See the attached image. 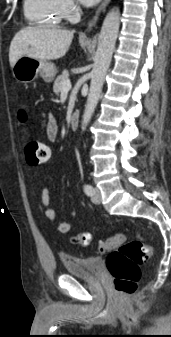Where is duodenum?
Masks as SVG:
<instances>
[{"label":"duodenum","instance_id":"1","mask_svg":"<svg viewBox=\"0 0 171 337\" xmlns=\"http://www.w3.org/2000/svg\"><path fill=\"white\" fill-rule=\"evenodd\" d=\"M78 126H79V113L74 112L70 119V127L71 129L75 130L78 128Z\"/></svg>","mask_w":171,"mask_h":337}]
</instances>
